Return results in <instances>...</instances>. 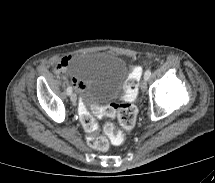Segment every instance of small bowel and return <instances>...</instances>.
Returning a JSON list of instances; mask_svg holds the SVG:
<instances>
[{
	"instance_id": "small-bowel-1",
	"label": "small bowel",
	"mask_w": 215,
	"mask_h": 183,
	"mask_svg": "<svg viewBox=\"0 0 215 183\" xmlns=\"http://www.w3.org/2000/svg\"><path fill=\"white\" fill-rule=\"evenodd\" d=\"M73 56H65L62 59H60L56 65H55V72L60 73L63 72L70 64L71 59ZM132 73L135 78H139L142 74V68L140 66H134L132 68ZM74 87L80 92L83 93L85 90V84L82 80L73 78L72 79Z\"/></svg>"
}]
</instances>
